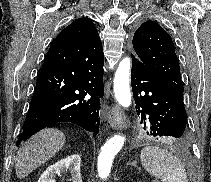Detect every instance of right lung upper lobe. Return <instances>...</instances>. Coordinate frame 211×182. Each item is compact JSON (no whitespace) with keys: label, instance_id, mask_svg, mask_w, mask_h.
Segmentation results:
<instances>
[{"label":"right lung upper lobe","instance_id":"right-lung-upper-lobe-1","mask_svg":"<svg viewBox=\"0 0 211 182\" xmlns=\"http://www.w3.org/2000/svg\"><path fill=\"white\" fill-rule=\"evenodd\" d=\"M97 34L98 32L91 19L83 17L75 20L63 29L54 41L59 44H65L68 42L81 41L86 38H91Z\"/></svg>","mask_w":211,"mask_h":182}]
</instances>
